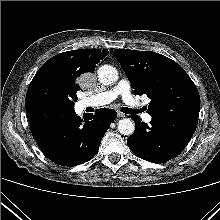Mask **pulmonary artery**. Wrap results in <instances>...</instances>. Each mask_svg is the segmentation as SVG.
I'll list each match as a JSON object with an SVG mask.
<instances>
[{
    "label": "pulmonary artery",
    "mask_w": 220,
    "mask_h": 220,
    "mask_svg": "<svg viewBox=\"0 0 220 220\" xmlns=\"http://www.w3.org/2000/svg\"><path fill=\"white\" fill-rule=\"evenodd\" d=\"M121 96L126 105L130 108L138 109L141 104L131 92L130 83L126 79H122L118 84L101 93L93 95L85 100L86 106L98 107L111 103L117 97ZM142 118L145 122H150L152 117L148 113H143Z\"/></svg>",
    "instance_id": "obj_1"
}]
</instances>
